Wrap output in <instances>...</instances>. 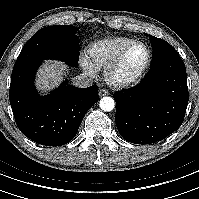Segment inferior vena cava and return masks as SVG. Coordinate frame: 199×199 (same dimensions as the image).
<instances>
[{
	"mask_svg": "<svg viewBox=\"0 0 199 199\" xmlns=\"http://www.w3.org/2000/svg\"><path fill=\"white\" fill-rule=\"evenodd\" d=\"M72 81L76 87L80 88L90 87L93 84L92 78L88 77L85 74H80L74 77Z\"/></svg>",
	"mask_w": 199,
	"mask_h": 199,
	"instance_id": "1",
	"label": "inferior vena cava"
}]
</instances>
